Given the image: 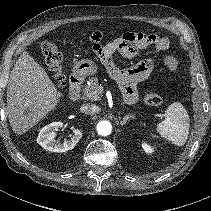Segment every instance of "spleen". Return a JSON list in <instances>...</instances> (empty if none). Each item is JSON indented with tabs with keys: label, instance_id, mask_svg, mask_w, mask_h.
Segmentation results:
<instances>
[{
	"label": "spleen",
	"instance_id": "1",
	"mask_svg": "<svg viewBox=\"0 0 211 211\" xmlns=\"http://www.w3.org/2000/svg\"><path fill=\"white\" fill-rule=\"evenodd\" d=\"M190 121L181 103H172L165 111V119L157 124V133L177 146L185 144L189 134Z\"/></svg>",
	"mask_w": 211,
	"mask_h": 211
}]
</instances>
